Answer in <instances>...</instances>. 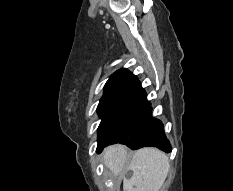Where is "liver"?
Here are the masks:
<instances>
[{
    "label": "liver",
    "mask_w": 233,
    "mask_h": 191,
    "mask_svg": "<svg viewBox=\"0 0 233 191\" xmlns=\"http://www.w3.org/2000/svg\"><path fill=\"white\" fill-rule=\"evenodd\" d=\"M105 166L114 176L131 170V178L124 179L123 191H160L170 164L168 156L157 148H142L129 159L128 149L120 144L108 146L103 152Z\"/></svg>",
    "instance_id": "1"
}]
</instances>
